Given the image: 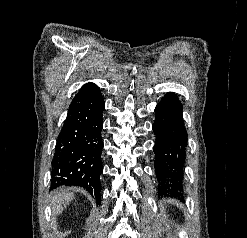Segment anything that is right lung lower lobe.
<instances>
[{
	"label": "right lung lower lobe",
	"mask_w": 247,
	"mask_h": 238,
	"mask_svg": "<svg viewBox=\"0 0 247 238\" xmlns=\"http://www.w3.org/2000/svg\"><path fill=\"white\" fill-rule=\"evenodd\" d=\"M104 107L101 92L94 83L85 84L73 98L52 162V188L82 187L100 203Z\"/></svg>",
	"instance_id": "1"
}]
</instances>
